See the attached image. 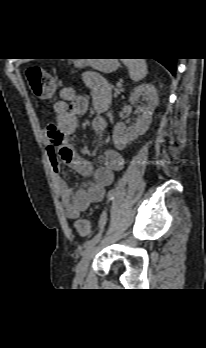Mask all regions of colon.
Masks as SVG:
<instances>
[{"instance_id": "1", "label": "colon", "mask_w": 206, "mask_h": 348, "mask_svg": "<svg viewBox=\"0 0 206 348\" xmlns=\"http://www.w3.org/2000/svg\"><path fill=\"white\" fill-rule=\"evenodd\" d=\"M26 79L31 93L39 100L50 98L55 91L54 79L41 67L32 66L26 70ZM77 233L83 237H89L91 225L87 219H80L75 223Z\"/></svg>"}]
</instances>
